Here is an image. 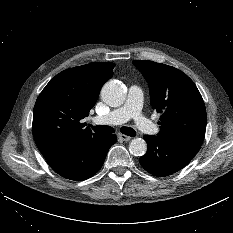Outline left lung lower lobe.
<instances>
[{
  "label": "left lung lower lobe",
  "instance_id": "obj_1",
  "mask_svg": "<svg viewBox=\"0 0 233 233\" xmlns=\"http://www.w3.org/2000/svg\"><path fill=\"white\" fill-rule=\"evenodd\" d=\"M147 152L140 157L141 166L150 174L164 177L185 167L200 150V145L183 141L165 140L145 135Z\"/></svg>",
  "mask_w": 233,
  "mask_h": 233
}]
</instances>
